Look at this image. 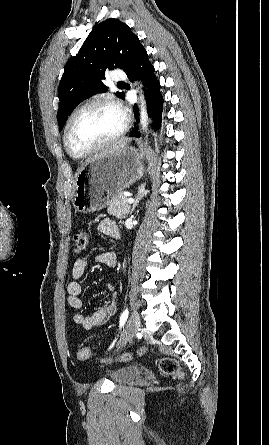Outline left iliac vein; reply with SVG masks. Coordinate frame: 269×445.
<instances>
[{
    "instance_id": "left-iliac-vein-1",
    "label": "left iliac vein",
    "mask_w": 269,
    "mask_h": 445,
    "mask_svg": "<svg viewBox=\"0 0 269 445\" xmlns=\"http://www.w3.org/2000/svg\"><path fill=\"white\" fill-rule=\"evenodd\" d=\"M140 324H141V321H140L139 314L136 311H134L128 320V323H127V326H126V329L124 332L122 345H124L128 341L132 340V338L138 331Z\"/></svg>"
}]
</instances>
